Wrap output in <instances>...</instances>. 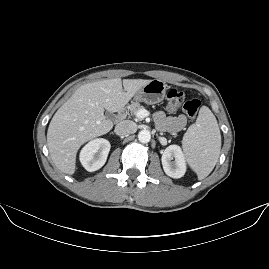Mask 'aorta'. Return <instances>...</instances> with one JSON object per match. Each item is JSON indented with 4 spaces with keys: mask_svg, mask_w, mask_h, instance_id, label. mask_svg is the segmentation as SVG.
Wrapping results in <instances>:
<instances>
[{
    "mask_svg": "<svg viewBox=\"0 0 269 269\" xmlns=\"http://www.w3.org/2000/svg\"><path fill=\"white\" fill-rule=\"evenodd\" d=\"M138 138L141 142H149L151 139V133L149 129H141Z\"/></svg>",
    "mask_w": 269,
    "mask_h": 269,
    "instance_id": "762f6f07",
    "label": "aorta"
}]
</instances>
